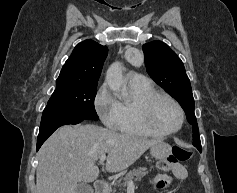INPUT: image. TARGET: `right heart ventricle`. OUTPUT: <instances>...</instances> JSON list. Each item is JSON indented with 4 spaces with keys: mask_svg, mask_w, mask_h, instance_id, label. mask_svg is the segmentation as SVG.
Here are the masks:
<instances>
[{
    "mask_svg": "<svg viewBox=\"0 0 237 193\" xmlns=\"http://www.w3.org/2000/svg\"><path fill=\"white\" fill-rule=\"evenodd\" d=\"M129 91L132 100L120 103V120L117 130L132 136H156L139 124L137 116L139 104L155 94L156 90L151 83L134 84L130 82Z\"/></svg>",
    "mask_w": 237,
    "mask_h": 193,
    "instance_id": "e07e8e85",
    "label": "right heart ventricle"
}]
</instances>
